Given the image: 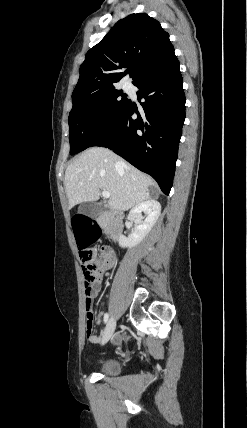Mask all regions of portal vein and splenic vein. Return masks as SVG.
I'll list each match as a JSON object with an SVG mask.
<instances>
[{"label":"portal vein and splenic vein","instance_id":"obj_1","mask_svg":"<svg viewBox=\"0 0 247 428\" xmlns=\"http://www.w3.org/2000/svg\"><path fill=\"white\" fill-rule=\"evenodd\" d=\"M102 196L104 198H109L110 197V193L108 191H102Z\"/></svg>","mask_w":247,"mask_h":428}]
</instances>
